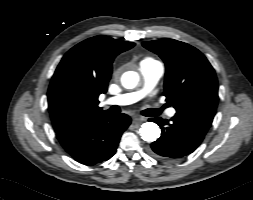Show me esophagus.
<instances>
[{"mask_svg":"<svg viewBox=\"0 0 253 200\" xmlns=\"http://www.w3.org/2000/svg\"><path fill=\"white\" fill-rule=\"evenodd\" d=\"M142 121H144V118H142V117H134L132 120L133 124H138Z\"/></svg>","mask_w":253,"mask_h":200,"instance_id":"obj_1","label":"esophagus"}]
</instances>
